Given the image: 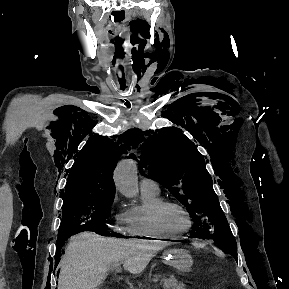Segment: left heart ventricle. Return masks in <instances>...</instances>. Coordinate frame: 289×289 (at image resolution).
<instances>
[{
    "instance_id": "left-heart-ventricle-1",
    "label": "left heart ventricle",
    "mask_w": 289,
    "mask_h": 289,
    "mask_svg": "<svg viewBox=\"0 0 289 289\" xmlns=\"http://www.w3.org/2000/svg\"><path fill=\"white\" fill-rule=\"evenodd\" d=\"M165 227L172 232H181L188 226L187 217L175 207L167 208L162 215Z\"/></svg>"
}]
</instances>
